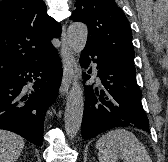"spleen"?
<instances>
[{
    "mask_svg": "<svg viewBox=\"0 0 168 162\" xmlns=\"http://www.w3.org/2000/svg\"><path fill=\"white\" fill-rule=\"evenodd\" d=\"M99 162H117L114 150H119L124 162H152L145 146L126 129H115L104 134L97 142Z\"/></svg>",
    "mask_w": 168,
    "mask_h": 162,
    "instance_id": "1",
    "label": "spleen"
}]
</instances>
